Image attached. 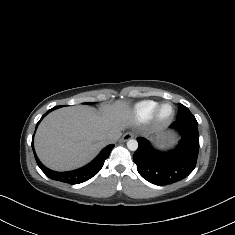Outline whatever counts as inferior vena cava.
Masks as SVG:
<instances>
[{
    "label": "inferior vena cava",
    "mask_w": 235,
    "mask_h": 235,
    "mask_svg": "<svg viewBox=\"0 0 235 235\" xmlns=\"http://www.w3.org/2000/svg\"><path fill=\"white\" fill-rule=\"evenodd\" d=\"M121 136V132L118 133H109L106 135L105 137V141L107 143H114L115 141H117Z\"/></svg>",
    "instance_id": "1"
}]
</instances>
